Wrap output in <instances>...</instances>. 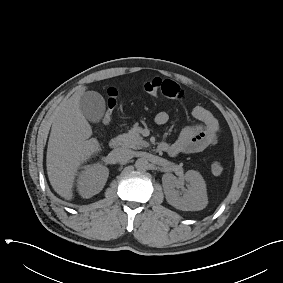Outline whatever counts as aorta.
Masks as SVG:
<instances>
[{"label": "aorta", "mask_w": 283, "mask_h": 283, "mask_svg": "<svg viewBox=\"0 0 283 283\" xmlns=\"http://www.w3.org/2000/svg\"><path fill=\"white\" fill-rule=\"evenodd\" d=\"M148 167H149V162L145 158H139L135 162V168L138 171H145L148 169Z\"/></svg>", "instance_id": "762f6f07"}]
</instances>
